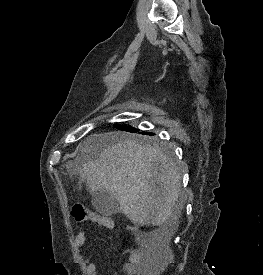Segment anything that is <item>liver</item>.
<instances>
[{
	"mask_svg": "<svg viewBox=\"0 0 263 275\" xmlns=\"http://www.w3.org/2000/svg\"><path fill=\"white\" fill-rule=\"evenodd\" d=\"M82 151L100 149L81 161L78 175L91 193L109 191L122 213L135 225H177L184 200L180 198L181 176L159 148L120 140L113 134H96L80 146Z\"/></svg>",
	"mask_w": 263,
	"mask_h": 275,
	"instance_id": "liver-1",
	"label": "liver"
}]
</instances>
